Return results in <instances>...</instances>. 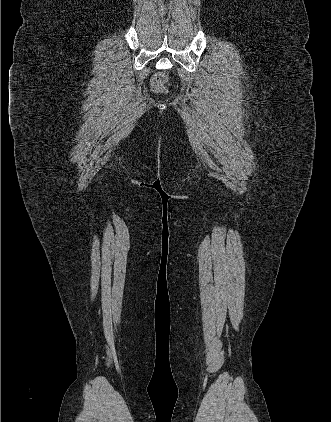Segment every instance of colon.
<instances>
[{
  "mask_svg": "<svg viewBox=\"0 0 331 422\" xmlns=\"http://www.w3.org/2000/svg\"><path fill=\"white\" fill-rule=\"evenodd\" d=\"M167 75L165 73H159L152 79L151 85L155 92L162 93L166 91Z\"/></svg>",
  "mask_w": 331,
  "mask_h": 422,
  "instance_id": "5ec220e1",
  "label": "colon"
}]
</instances>
